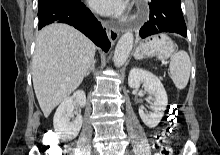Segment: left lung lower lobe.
<instances>
[{"mask_svg":"<svg viewBox=\"0 0 220 155\" xmlns=\"http://www.w3.org/2000/svg\"><path fill=\"white\" fill-rule=\"evenodd\" d=\"M180 0H151L149 21L141 28L140 36L171 32L187 36Z\"/></svg>","mask_w":220,"mask_h":155,"instance_id":"1","label":"left lung lower lobe"}]
</instances>
